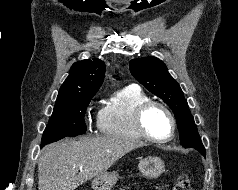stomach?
Wrapping results in <instances>:
<instances>
[{"label": "stomach", "mask_w": 238, "mask_h": 190, "mask_svg": "<svg viewBox=\"0 0 238 190\" xmlns=\"http://www.w3.org/2000/svg\"><path fill=\"white\" fill-rule=\"evenodd\" d=\"M141 174L149 179L158 178L165 170L164 162L159 157H147L138 164ZM119 176L117 172H106L92 181L93 190H111Z\"/></svg>", "instance_id": "stomach-1"}]
</instances>
